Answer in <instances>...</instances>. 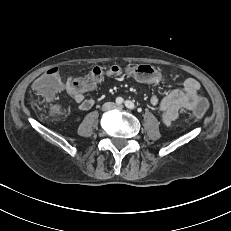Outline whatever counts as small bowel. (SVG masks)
I'll list each match as a JSON object with an SVG mask.
<instances>
[{
  "label": "small bowel",
  "mask_w": 231,
  "mask_h": 231,
  "mask_svg": "<svg viewBox=\"0 0 231 231\" xmlns=\"http://www.w3.org/2000/svg\"><path fill=\"white\" fill-rule=\"evenodd\" d=\"M73 77L69 76L62 83L60 89L76 103L80 110H88L94 105V99L87 98L84 91L75 89ZM199 82L194 78L186 79L180 88L174 89L163 97L152 96L151 105L161 113V121L164 126L171 127L176 122L180 112L192 111L203 97L198 95Z\"/></svg>",
  "instance_id": "1"
}]
</instances>
